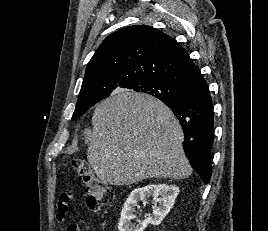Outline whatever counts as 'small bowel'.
Returning a JSON list of instances; mask_svg holds the SVG:
<instances>
[{
  "label": "small bowel",
  "instance_id": "obj_1",
  "mask_svg": "<svg viewBox=\"0 0 268 231\" xmlns=\"http://www.w3.org/2000/svg\"><path fill=\"white\" fill-rule=\"evenodd\" d=\"M72 196L69 194H62L59 197L58 209L56 213V221L65 227L67 231H81L80 226L69 220L68 218V204Z\"/></svg>",
  "mask_w": 268,
  "mask_h": 231
}]
</instances>
